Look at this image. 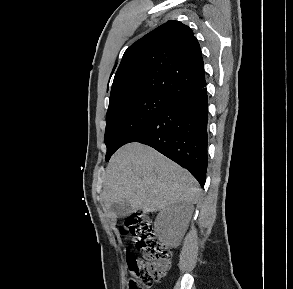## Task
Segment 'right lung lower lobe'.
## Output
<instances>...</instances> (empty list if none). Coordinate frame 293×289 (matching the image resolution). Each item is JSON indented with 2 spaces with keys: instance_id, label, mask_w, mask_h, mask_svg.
I'll return each instance as SVG.
<instances>
[{
  "instance_id": "98d812e1",
  "label": "right lung lower lobe",
  "mask_w": 293,
  "mask_h": 289,
  "mask_svg": "<svg viewBox=\"0 0 293 289\" xmlns=\"http://www.w3.org/2000/svg\"><path fill=\"white\" fill-rule=\"evenodd\" d=\"M206 87L172 102L128 141L149 145L185 167L203 187L208 144Z\"/></svg>"
}]
</instances>
